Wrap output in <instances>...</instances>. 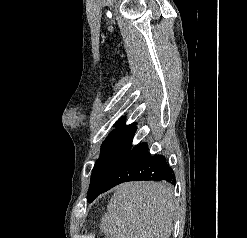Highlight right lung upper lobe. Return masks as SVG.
Masks as SVG:
<instances>
[{
	"label": "right lung upper lobe",
	"instance_id": "cb5924a9",
	"mask_svg": "<svg viewBox=\"0 0 247 238\" xmlns=\"http://www.w3.org/2000/svg\"><path fill=\"white\" fill-rule=\"evenodd\" d=\"M121 122H124V119H122V120L120 121V123H121Z\"/></svg>",
	"mask_w": 247,
	"mask_h": 238
}]
</instances>
